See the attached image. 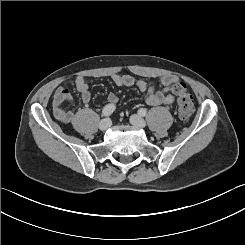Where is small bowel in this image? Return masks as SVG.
<instances>
[{"label": "small bowel", "instance_id": "1", "mask_svg": "<svg viewBox=\"0 0 245 245\" xmlns=\"http://www.w3.org/2000/svg\"><path fill=\"white\" fill-rule=\"evenodd\" d=\"M113 82L120 87H137L140 92L145 96V101L148 105H169L175 100L172 87L178 82V78L171 74H165L160 77L159 83L162 86L158 88L155 84L147 83L144 80H136L130 75L125 74H113L111 76ZM74 86L79 93L83 103L90 101L91 95L89 91V85L87 81L78 76L74 80ZM72 100L69 90L65 87H58L53 96V113L54 116L62 123H71L74 119V113L71 109L64 107L65 103H70ZM118 102V96L115 93L108 95L107 105H116Z\"/></svg>", "mask_w": 245, "mask_h": 245}]
</instances>
